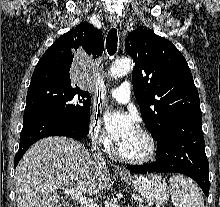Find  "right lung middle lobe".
<instances>
[{
    "instance_id": "dd1d6c3e",
    "label": "right lung middle lobe",
    "mask_w": 220,
    "mask_h": 207,
    "mask_svg": "<svg viewBox=\"0 0 220 207\" xmlns=\"http://www.w3.org/2000/svg\"><path fill=\"white\" fill-rule=\"evenodd\" d=\"M91 97L78 87L54 83L29 86L25 112L43 110L58 115L89 121Z\"/></svg>"
}]
</instances>
